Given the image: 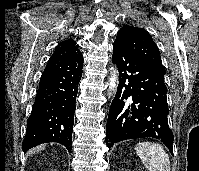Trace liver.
<instances>
[{
	"label": "liver",
	"mask_w": 199,
	"mask_h": 171,
	"mask_svg": "<svg viewBox=\"0 0 199 171\" xmlns=\"http://www.w3.org/2000/svg\"><path fill=\"white\" fill-rule=\"evenodd\" d=\"M44 148H45V146H44V145H41V146H39V147H37V148L31 150V151L29 152V154L32 155V154H34L35 152H39V151L43 150Z\"/></svg>",
	"instance_id": "liver-1"
}]
</instances>
